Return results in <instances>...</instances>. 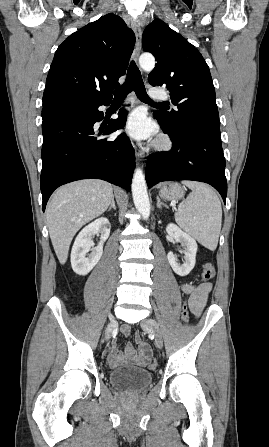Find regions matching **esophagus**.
Here are the masks:
<instances>
[{"label": "esophagus", "instance_id": "34e87169", "mask_svg": "<svg viewBox=\"0 0 269 447\" xmlns=\"http://www.w3.org/2000/svg\"><path fill=\"white\" fill-rule=\"evenodd\" d=\"M131 27H132L133 32L135 33V38H136L133 57H134V60L137 62L138 57L141 52L142 29H141V25L138 20L133 21L131 24ZM134 148H135L136 158L138 160L144 159L145 158L144 150L138 149L135 145H134Z\"/></svg>", "mask_w": 269, "mask_h": 447}]
</instances>
